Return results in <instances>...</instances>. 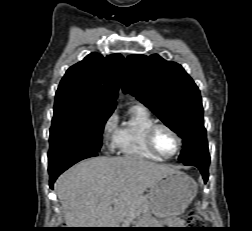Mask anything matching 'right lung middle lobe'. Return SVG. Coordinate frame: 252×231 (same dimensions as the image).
<instances>
[{
  "mask_svg": "<svg viewBox=\"0 0 252 231\" xmlns=\"http://www.w3.org/2000/svg\"><path fill=\"white\" fill-rule=\"evenodd\" d=\"M112 110L55 105L50 128L49 162L70 154L99 152L102 133Z\"/></svg>",
  "mask_w": 252,
  "mask_h": 231,
  "instance_id": "right-lung-middle-lobe-1",
  "label": "right lung middle lobe"
}]
</instances>
